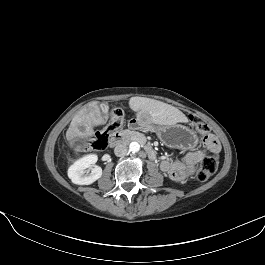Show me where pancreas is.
I'll list each match as a JSON object with an SVG mask.
<instances>
[{
	"mask_svg": "<svg viewBox=\"0 0 265 265\" xmlns=\"http://www.w3.org/2000/svg\"><path fill=\"white\" fill-rule=\"evenodd\" d=\"M131 135H132L134 138L144 140V139H143V136L140 135V134H138V133H131Z\"/></svg>",
	"mask_w": 265,
	"mask_h": 265,
	"instance_id": "1",
	"label": "pancreas"
}]
</instances>
